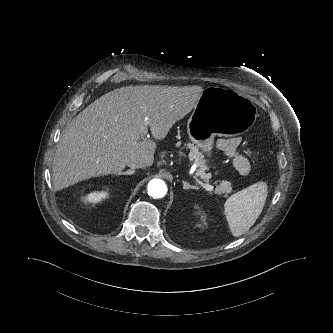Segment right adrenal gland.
Segmentation results:
<instances>
[{
  "label": "right adrenal gland",
  "instance_id": "2a0ac1e0",
  "mask_svg": "<svg viewBox=\"0 0 333 333\" xmlns=\"http://www.w3.org/2000/svg\"><path fill=\"white\" fill-rule=\"evenodd\" d=\"M134 173H135V170H128L126 172L117 173L116 175H132Z\"/></svg>",
  "mask_w": 333,
  "mask_h": 333
}]
</instances>
